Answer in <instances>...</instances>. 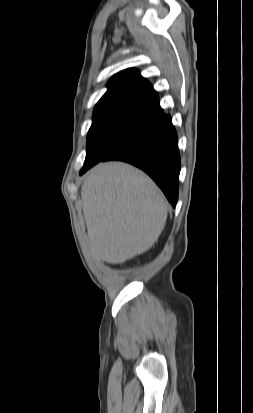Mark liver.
Returning a JSON list of instances; mask_svg holds the SVG:
<instances>
[{
	"label": "liver",
	"instance_id": "6515ba94",
	"mask_svg": "<svg viewBox=\"0 0 253 413\" xmlns=\"http://www.w3.org/2000/svg\"><path fill=\"white\" fill-rule=\"evenodd\" d=\"M81 205L90 254L109 264L149 250L167 220L161 190L144 172L123 162L100 163L89 171Z\"/></svg>",
	"mask_w": 253,
	"mask_h": 413
}]
</instances>
